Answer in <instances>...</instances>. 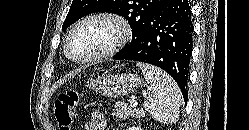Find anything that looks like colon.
<instances>
[{"instance_id": "obj_1", "label": "colon", "mask_w": 249, "mask_h": 130, "mask_svg": "<svg viewBox=\"0 0 249 130\" xmlns=\"http://www.w3.org/2000/svg\"><path fill=\"white\" fill-rule=\"evenodd\" d=\"M78 104V93L69 90L59 95L53 107L55 120L59 130H71L76 106Z\"/></svg>"}]
</instances>
